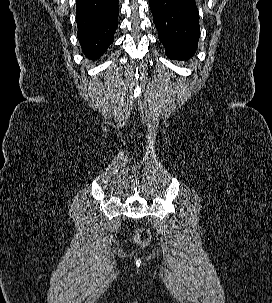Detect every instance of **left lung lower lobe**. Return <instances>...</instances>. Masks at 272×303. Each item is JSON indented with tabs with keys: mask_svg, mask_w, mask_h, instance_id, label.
<instances>
[{
	"mask_svg": "<svg viewBox=\"0 0 272 303\" xmlns=\"http://www.w3.org/2000/svg\"><path fill=\"white\" fill-rule=\"evenodd\" d=\"M158 38L171 60H188L200 37L195 0H150Z\"/></svg>",
	"mask_w": 272,
	"mask_h": 303,
	"instance_id": "left-lung-lower-lobe-1",
	"label": "left lung lower lobe"
}]
</instances>
